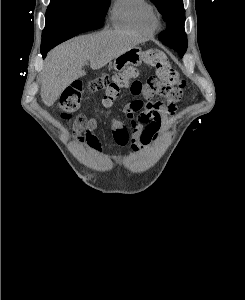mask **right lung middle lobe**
I'll return each instance as SVG.
<instances>
[{
    "instance_id": "1",
    "label": "right lung middle lobe",
    "mask_w": 245,
    "mask_h": 300,
    "mask_svg": "<svg viewBox=\"0 0 245 300\" xmlns=\"http://www.w3.org/2000/svg\"><path fill=\"white\" fill-rule=\"evenodd\" d=\"M109 4L110 0H51L41 47H54L82 33L87 22H103Z\"/></svg>"
}]
</instances>
